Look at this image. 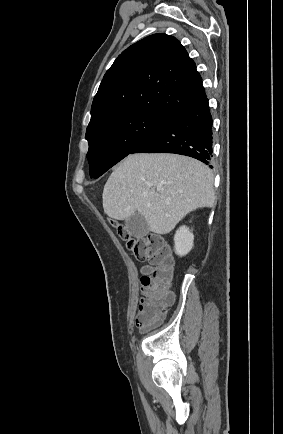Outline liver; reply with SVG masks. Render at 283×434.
Returning a JSON list of instances; mask_svg holds the SVG:
<instances>
[{"label":"liver","instance_id":"6515ba94","mask_svg":"<svg viewBox=\"0 0 283 434\" xmlns=\"http://www.w3.org/2000/svg\"><path fill=\"white\" fill-rule=\"evenodd\" d=\"M213 182L212 172L196 159L169 153L132 154L104 186V212L115 220H127L138 212L150 231L167 234L189 212L213 206Z\"/></svg>","mask_w":283,"mask_h":434}]
</instances>
